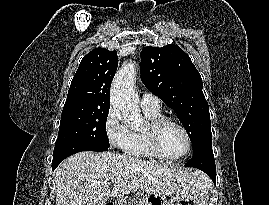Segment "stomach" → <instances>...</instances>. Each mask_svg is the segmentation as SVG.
Returning <instances> with one entry per match:
<instances>
[{
  "instance_id": "obj_1",
  "label": "stomach",
  "mask_w": 269,
  "mask_h": 205,
  "mask_svg": "<svg viewBox=\"0 0 269 205\" xmlns=\"http://www.w3.org/2000/svg\"><path fill=\"white\" fill-rule=\"evenodd\" d=\"M208 200L205 190L179 193L170 200H166L162 195L150 193L143 196L138 205H208Z\"/></svg>"
}]
</instances>
